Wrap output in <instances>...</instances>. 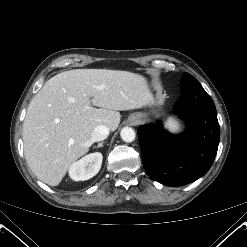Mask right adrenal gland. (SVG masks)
<instances>
[{"instance_id":"2a0ac1e0","label":"right adrenal gland","mask_w":247,"mask_h":247,"mask_svg":"<svg viewBox=\"0 0 247 247\" xmlns=\"http://www.w3.org/2000/svg\"><path fill=\"white\" fill-rule=\"evenodd\" d=\"M103 144H104V142H101V143H99L97 146H95L94 148H100V147H103Z\"/></svg>"}]
</instances>
